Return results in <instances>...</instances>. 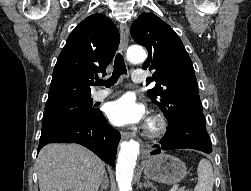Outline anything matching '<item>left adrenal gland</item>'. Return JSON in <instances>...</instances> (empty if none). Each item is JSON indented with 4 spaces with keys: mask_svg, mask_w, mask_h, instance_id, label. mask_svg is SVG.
<instances>
[{
    "mask_svg": "<svg viewBox=\"0 0 251 191\" xmlns=\"http://www.w3.org/2000/svg\"><path fill=\"white\" fill-rule=\"evenodd\" d=\"M144 185H145V187H152V189H157V187H155V185H153V183H151V181H149V179H146Z\"/></svg>",
    "mask_w": 251,
    "mask_h": 191,
    "instance_id": "1",
    "label": "left adrenal gland"
}]
</instances>
